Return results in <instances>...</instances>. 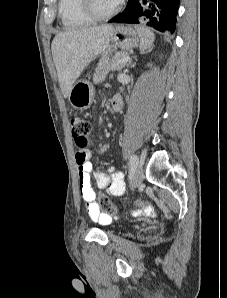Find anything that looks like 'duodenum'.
I'll use <instances>...</instances> for the list:
<instances>
[{
  "label": "duodenum",
  "mask_w": 227,
  "mask_h": 298,
  "mask_svg": "<svg viewBox=\"0 0 227 298\" xmlns=\"http://www.w3.org/2000/svg\"><path fill=\"white\" fill-rule=\"evenodd\" d=\"M111 105L113 110L115 111H119L122 108L123 102H122V98L118 95L114 96L111 100Z\"/></svg>",
  "instance_id": "410a0bca"
}]
</instances>
